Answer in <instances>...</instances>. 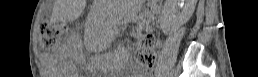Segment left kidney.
<instances>
[{
	"label": "left kidney",
	"mask_w": 258,
	"mask_h": 77,
	"mask_svg": "<svg viewBox=\"0 0 258 77\" xmlns=\"http://www.w3.org/2000/svg\"><path fill=\"white\" fill-rule=\"evenodd\" d=\"M182 1H185L186 4H185V7L183 8V13L180 17V20L182 22H186L192 16L197 0H182Z\"/></svg>",
	"instance_id": "obj_1"
}]
</instances>
